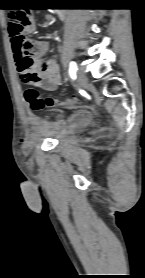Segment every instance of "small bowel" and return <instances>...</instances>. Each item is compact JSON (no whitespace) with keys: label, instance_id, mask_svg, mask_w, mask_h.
<instances>
[{"label":"small bowel","instance_id":"obj_1","mask_svg":"<svg viewBox=\"0 0 145 278\" xmlns=\"http://www.w3.org/2000/svg\"><path fill=\"white\" fill-rule=\"evenodd\" d=\"M35 23L31 19V24L27 27L29 33L34 32ZM11 48L16 69L24 81V76L30 72L42 68L41 70V87L47 91H54L58 88L61 82V75L59 65L55 60L43 62V56L49 49L48 42H41L36 46L37 59L28 55L26 48L16 46L11 39ZM28 119L31 124H36L38 118L32 113L28 114Z\"/></svg>","mask_w":145,"mask_h":278}]
</instances>
